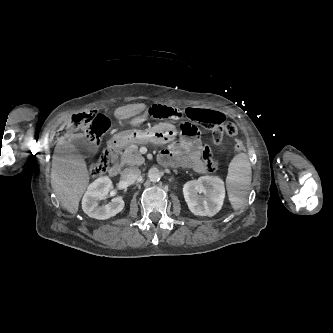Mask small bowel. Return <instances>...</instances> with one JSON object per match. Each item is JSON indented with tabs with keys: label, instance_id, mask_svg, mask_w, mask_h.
<instances>
[{
	"label": "small bowel",
	"instance_id": "c3829d8e",
	"mask_svg": "<svg viewBox=\"0 0 333 333\" xmlns=\"http://www.w3.org/2000/svg\"><path fill=\"white\" fill-rule=\"evenodd\" d=\"M202 114V122L211 124L223 122L225 116L217 110L197 109ZM147 119L146 113H141L136 118L129 120L130 126L142 124ZM202 145L196 137H184L180 141L174 142L163 150L160 155V160L163 163H172L184 168L192 169L199 173L206 172L204 162L201 159Z\"/></svg>",
	"mask_w": 333,
	"mask_h": 333
}]
</instances>
